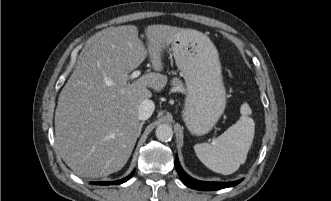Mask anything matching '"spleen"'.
<instances>
[{"mask_svg":"<svg viewBox=\"0 0 331 201\" xmlns=\"http://www.w3.org/2000/svg\"><path fill=\"white\" fill-rule=\"evenodd\" d=\"M251 108L247 103L240 108L241 117L213 144L201 143L194 146L196 156L209 169L229 175L245 163L254 139L255 123L249 116Z\"/></svg>","mask_w":331,"mask_h":201,"instance_id":"obj_1","label":"spleen"}]
</instances>
